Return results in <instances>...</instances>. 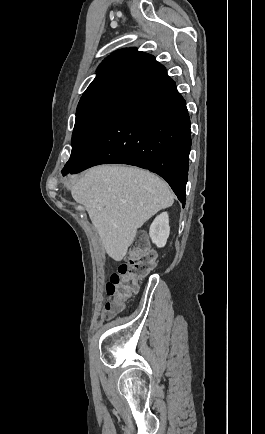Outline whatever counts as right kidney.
<instances>
[{
    "mask_svg": "<svg viewBox=\"0 0 265 434\" xmlns=\"http://www.w3.org/2000/svg\"><path fill=\"white\" fill-rule=\"evenodd\" d=\"M169 234L170 228L168 214L167 212H163V214L157 216L154 222H152L149 236L153 244H156L157 248H164V246H166L167 238H169Z\"/></svg>",
    "mask_w": 265,
    "mask_h": 434,
    "instance_id": "right-kidney-1",
    "label": "right kidney"
}]
</instances>
